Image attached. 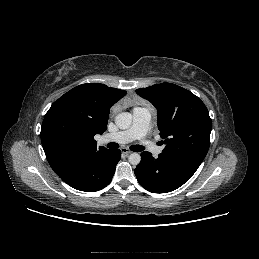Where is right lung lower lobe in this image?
<instances>
[{
	"instance_id": "98d812e1",
	"label": "right lung lower lobe",
	"mask_w": 259,
	"mask_h": 259,
	"mask_svg": "<svg viewBox=\"0 0 259 259\" xmlns=\"http://www.w3.org/2000/svg\"><path fill=\"white\" fill-rule=\"evenodd\" d=\"M120 158V150H107L88 158L76 160L57 174L64 182L77 190L95 192L111 182Z\"/></svg>"
}]
</instances>
